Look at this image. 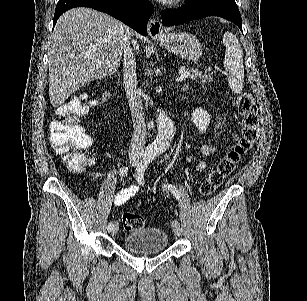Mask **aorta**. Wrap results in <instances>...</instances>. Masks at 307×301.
Returning a JSON list of instances; mask_svg holds the SVG:
<instances>
[{
  "mask_svg": "<svg viewBox=\"0 0 307 301\" xmlns=\"http://www.w3.org/2000/svg\"><path fill=\"white\" fill-rule=\"evenodd\" d=\"M156 126L157 136L148 151L161 153L175 132L174 122L169 118L167 112H164L163 108H156Z\"/></svg>",
  "mask_w": 307,
  "mask_h": 301,
  "instance_id": "obj_1",
  "label": "aorta"
}]
</instances>
